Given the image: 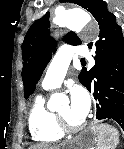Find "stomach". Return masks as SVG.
<instances>
[{"label":"stomach","mask_w":124,"mask_h":149,"mask_svg":"<svg viewBox=\"0 0 124 149\" xmlns=\"http://www.w3.org/2000/svg\"><path fill=\"white\" fill-rule=\"evenodd\" d=\"M94 127L87 129L75 137L70 149H92L90 147H93L98 141L97 131Z\"/></svg>","instance_id":"stomach-1"}]
</instances>
